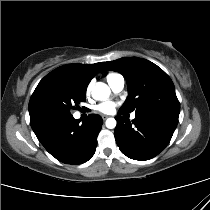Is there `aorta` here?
<instances>
[{
  "mask_svg": "<svg viewBox=\"0 0 210 210\" xmlns=\"http://www.w3.org/2000/svg\"><path fill=\"white\" fill-rule=\"evenodd\" d=\"M110 95V88L105 83L99 82L92 89V97L95 100H106ZM116 120L114 118H108L106 120V127L113 129L116 127Z\"/></svg>",
  "mask_w": 210,
  "mask_h": 210,
  "instance_id": "aorta-1",
  "label": "aorta"
}]
</instances>
